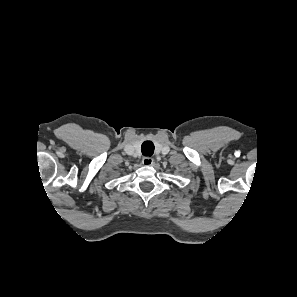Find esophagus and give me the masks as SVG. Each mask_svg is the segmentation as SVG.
Listing matches in <instances>:
<instances>
[{"instance_id": "esophagus-1", "label": "esophagus", "mask_w": 297, "mask_h": 297, "mask_svg": "<svg viewBox=\"0 0 297 297\" xmlns=\"http://www.w3.org/2000/svg\"><path fill=\"white\" fill-rule=\"evenodd\" d=\"M154 163V159L151 158V157H144L142 159V164L145 165V166H150Z\"/></svg>"}]
</instances>
